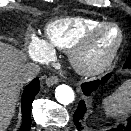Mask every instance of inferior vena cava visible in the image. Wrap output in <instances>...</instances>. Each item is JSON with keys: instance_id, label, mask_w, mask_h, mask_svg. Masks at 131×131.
Here are the masks:
<instances>
[{"instance_id": "602c4592", "label": "inferior vena cava", "mask_w": 131, "mask_h": 131, "mask_svg": "<svg viewBox=\"0 0 131 131\" xmlns=\"http://www.w3.org/2000/svg\"><path fill=\"white\" fill-rule=\"evenodd\" d=\"M40 72V66L35 63L24 64L17 72V80L20 83L31 81Z\"/></svg>"}]
</instances>
